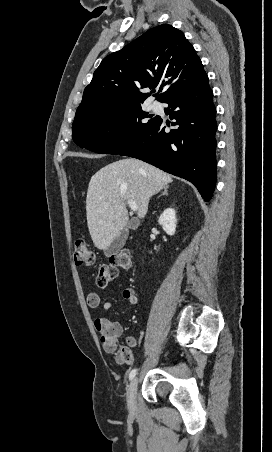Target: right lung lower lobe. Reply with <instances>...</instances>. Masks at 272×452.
Here are the masks:
<instances>
[{"instance_id": "right-lung-lower-lobe-1", "label": "right lung lower lobe", "mask_w": 272, "mask_h": 452, "mask_svg": "<svg viewBox=\"0 0 272 452\" xmlns=\"http://www.w3.org/2000/svg\"><path fill=\"white\" fill-rule=\"evenodd\" d=\"M164 103L175 119V129L165 130L160 117L142 137L119 155L134 157L193 183L205 201L216 183V109L208 76Z\"/></svg>"}]
</instances>
